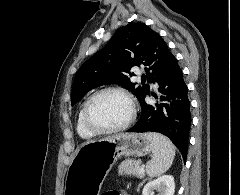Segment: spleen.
<instances>
[{"label": "spleen", "instance_id": "3e777b00", "mask_svg": "<svg viewBox=\"0 0 240 195\" xmlns=\"http://www.w3.org/2000/svg\"><path fill=\"white\" fill-rule=\"evenodd\" d=\"M145 137L149 139L153 153L152 159L146 163V173L149 177H158L172 165L176 147L169 137L156 131H147Z\"/></svg>", "mask_w": 240, "mask_h": 195}]
</instances>
